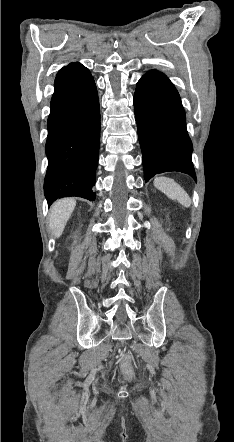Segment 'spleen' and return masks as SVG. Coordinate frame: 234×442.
Listing matches in <instances>:
<instances>
[{"mask_svg": "<svg viewBox=\"0 0 234 442\" xmlns=\"http://www.w3.org/2000/svg\"><path fill=\"white\" fill-rule=\"evenodd\" d=\"M154 186L168 198L177 200L182 206L189 207L191 205V198L187 192L173 179L164 176L156 177Z\"/></svg>", "mask_w": 234, "mask_h": 442, "instance_id": "obj_1", "label": "spleen"}]
</instances>
